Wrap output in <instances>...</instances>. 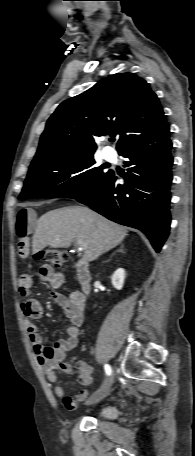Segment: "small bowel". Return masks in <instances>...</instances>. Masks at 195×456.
Returning a JSON list of instances; mask_svg holds the SVG:
<instances>
[{"instance_id":"small-bowel-1","label":"small bowel","mask_w":195,"mask_h":456,"mask_svg":"<svg viewBox=\"0 0 195 456\" xmlns=\"http://www.w3.org/2000/svg\"><path fill=\"white\" fill-rule=\"evenodd\" d=\"M34 216L30 210L21 209L16 217L15 232L18 236V254L21 258L29 255V236L32 231ZM43 282L48 283L53 292L55 302L61 307L70 325L66 330V338L57 340L51 346L44 345V337L39 333L35 320L43 315V308L40 302L29 297L32 278L23 274L18 280V292L24 298L20 304L25 317V325L29 340L37 356L38 363L44 369L48 382L53 386L54 393L59 397L67 409H75L77 405L88 396L87 390H81L75 397L66 395L64 389L58 383L55 372L59 363L63 362L67 353L78 345L79 328L84 322L85 296L79 291H72L64 294L60 290L64 285L65 277L60 272H55L50 265L43 264L38 271ZM78 381L81 385L87 386L92 381V368L85 361L77 362Z\"/></svg>"}]
</instances>
